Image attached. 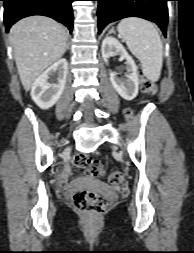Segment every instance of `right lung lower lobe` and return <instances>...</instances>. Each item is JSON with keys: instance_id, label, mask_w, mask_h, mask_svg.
Masks as SVG:
<instances>
[{"instance_id": "98d812e1", "label": "right lung lower lobe", "mask_w": 194, "mask_h": 253, "mask_svg": "<svg viewBox=\"0 0 194 253\" xmlns=\"http://www.w3.org/2000/svg\"><path fill=\"white\" fill-rule=\"evenodd\" d=\"M4 1V22L6 30L18 20L31 15L51 17L67 26L72 32L74 0H0Z\"/></svg>"}]
</instances>
